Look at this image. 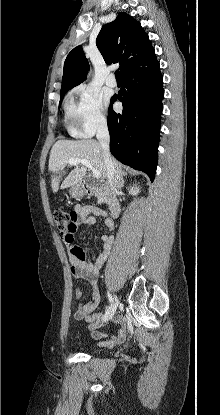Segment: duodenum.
<instances>
[{
    "label": "duodenum",
    "mask_w": 220,
    "mask_h": 415,
    "mask_svg": "<svg viewBox=\"0 0 220 415\" xmlns=\"http://www.w3.org/2000/svg\"><path fill=\"white\" fill-rule=\"evenodd\" d=\"M80 187L88 195L98 193L105 196L109 206L110 216L112 218L118 217L121 210V205L116 193L109 185L94 184L89 182L88 180H83L80 183Z\"/></svg>",
    "instance_id": "duodenum-1"
}]
</instances>
